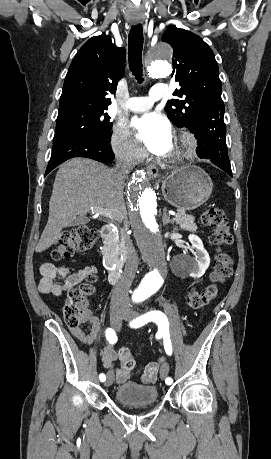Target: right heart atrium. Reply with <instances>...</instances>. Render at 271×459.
Segmentation results:
<instances>
[{
    "label": "right heart atrium",
    "instance_id": "right-heart-atrium-1",
    "mask_svg": "<svg viewBox=\"0 0 271 459\" xmlns=\"http://www.w3.org/2000/svg\"><path fill=\"white\" fill-rule=\"evenodd\" d=\"M110 144L116 155L131 164L139 163L145 157V150L133 139L124 125L117 124L113 127Z\"/></svg>",
    "mask_w": 271,
    "mask_h": 459
}]
</instances>
